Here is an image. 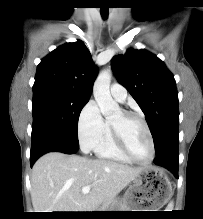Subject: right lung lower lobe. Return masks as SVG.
I'll return each instance as SVG.
<instances>
[{
  "label": "right lung lower lobe",
  "instance_id": "98d812e1",
  "mask_svg": "<svg viewBox=\"0 0 203 219\" xmlns=\"http://www.w3.org/2000/svg\"><path fill=\"white\" fill-rule=\"evenodd\" d=\"M52 151H66L61 147V144L49 137H41L35 140H32V148L30 155V164L33 166L35 161L45 153ZM67 154H75L76 152H68ZM65 153V152H64Z\"/></svg>",
  "mask_w": 203,
  "mask_h": 219
}]
</instances>
